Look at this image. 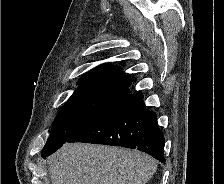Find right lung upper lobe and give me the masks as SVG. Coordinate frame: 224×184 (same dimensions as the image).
Segmentation results:
<instances>
[{
    "label": "right lung upper lobe",
    "instance_id": "obj_1",
    "mask_svg": "<svg viewBox=\"0 0 224 184\" xmlns=\"http://www.w3.org/2000/svg\"><path fill=\"white\" fill-rule=\"evenodd\" d=\"M122 74L120 67L105 63L83 75L78 84L109 83L129 87L131 85L130 80Z\"/></svg>",
    "mask_w": 224,
    "mask_h": 184
}]
</instances>
